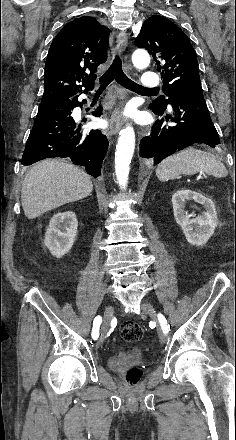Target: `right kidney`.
Here are the masks:
<instances>
[{"mask_svg": "<svg viewBox=\"0 0 236 440\" xmlns=\"http://www.w3.org/2000/svg\"><path fill=\"white\" fill-rule=\"evenodd\" d=\"M78 221L73 211L55 214L46 229L44 244L57 258L68 253L77 235Z\"/></svg>", "mask_w": 236, "mask_h": 440, "instance_id": "ca27d5eb", "label": "right kidney"}]
</instances>
